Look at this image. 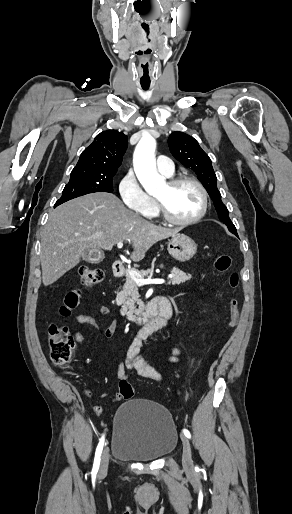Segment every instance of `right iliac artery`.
I'll use <instances>...</instances> for the list:
<instances>
[{"mask_svg":"<svg viewBox=\"0 0 292 514\" xmlns=\"http://www.w3.org/2000/svg\"><path fill=\"white\" fill-rule=\"evenodd\" d=\"M104 442H105V435L103 434L101 439H100V441H99V444H98V446L96 448V453H95V458H94V463H93V469H92V475L93 476H96V474L98 472V469H99L100 460H101V454H102Z\"/></svg>","mask_w":292,"mask_h":514,"instance_id":"obj_1","label":"right iliac artery"}]
</instances>
